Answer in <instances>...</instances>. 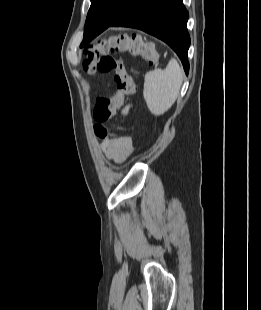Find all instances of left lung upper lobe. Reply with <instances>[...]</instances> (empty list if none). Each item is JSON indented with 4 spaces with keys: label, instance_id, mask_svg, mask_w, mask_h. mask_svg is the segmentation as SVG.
<instances>
[{
    "label": "left lung upper lobe",
    "instance_id": "left-lung-upper-lobe-1",
    "mask_svg": "<svg viewBox=\"0 0 261 310\" xmlns=\"http://www.w3.org/2000/svg\"><path fill=\"white\" fill-rule=\"evenodd\" d=\"M123 2L124 0H91L86 22H108L117 15Z\"/></svg>",
    "mask_w": 261,
    "mask_h": 310
}]
</instances>
